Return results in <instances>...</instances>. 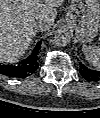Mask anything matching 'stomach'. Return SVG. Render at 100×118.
<instances>
[{"label":"stomach","mask_w":100,"mask_h":118,"mask_svg":"<svg viewBox=\"0 0 100 118\" xmlns=\"http://www.w3.org/2000/svg\"><path fill=\"white\" fill-rule=\"evenodd\" d=\"M66 24L75 31L80 42H92L100 29L99 0H71Z\"/></svg>","instance_id":"0dacf381"}]
</instances>
